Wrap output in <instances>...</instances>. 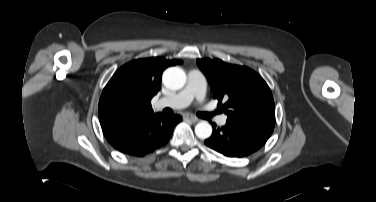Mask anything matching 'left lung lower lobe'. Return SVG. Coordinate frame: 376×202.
Masks as SVG:
<instances>
[{
	"instance_id": "1",
	"label": "left lung lower lobe",
	"mask_w": 376,
	"mask_h": 202,
	"mask_svg": "<svg viewBox=\"0 0 376 202\" xmlns=\"http://www.w3.org/2000/svg\"><path fill=\"white\" fill-rule=\"evenodd\" d=\"M213 125V133L205 144L228 157H244L261 148L271 133L227 120L221 128Z\"/></svg>"
}]
</instances>
